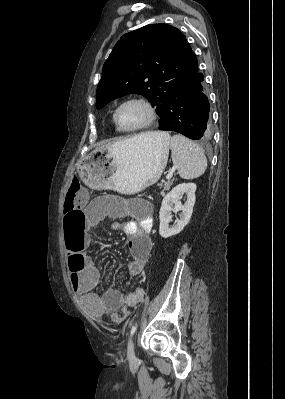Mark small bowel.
Segmentation results:
<instances>
[{"label": "small bowel", "mask_w": 285, "mask_h": 399, "mask_svg": "<svg viewBox=\"0 0 285 399\" xmlns=\"http://www.w3.org/2000/svg\"><path fill=\"white\" fill-rule=\"evenodd\" d=\"M86 203L87 201L83 200L81 208H84ZM97 210L99 217L124 218L126 216L123 199L110 195L101 199L97 204ZM153 224L154 220L150 215L138 214L128 221L116 223L111 227L113 231L120 230L127 236V246L131 258L125 268L127 275L132 278L141 275L150 256V232ZM94 226L95 222L89 224L81 222L70 227L68 222H65L64 232L71 231L79 243L90 248L92 242L90 231ZM85 260V267L70 276V284L75 295L82 306L89 310L96 319H107L109 325L119 324L123 319L116 321L113 319L114 316L124 305L131 304L134 307L142 302L143 291L138 289L124 294L119 290L106 288L100 295L94 293L93 290L102 283L101 271L91 256H85Z\"/></svg>", "instance_id": "1"}]
</instances>
